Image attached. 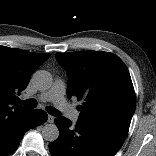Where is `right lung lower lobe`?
I'll list each match as a JSON object with an SVG mask.
<instances>
[{"mask_svg":"<svg viewBox=\"0 0 156 156\" xmlns=\"http://www.w3.org/2000/svg\"><path fill=\"white\" fill-rule=\"evenodd\" d=\"M47 118V113L39 109L12 112L0 117V156L16 150L25 132L43 124Z\"/></svg>","mask_w":156,"mask_h":156,"instance_id":"obj_1","label":"right lung lower lobe"}]
</instances>
